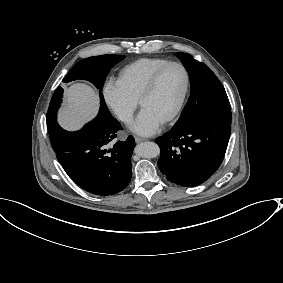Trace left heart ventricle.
<instances>
[{"label": "left heart ventricle", "mask_w": 283, "mask_h": 283, "mask_svg": "<svg viewBox=\"0 0 283 283\" xmlns=\"http://www.w3.org/2000/svg\"><path fill=\"white\" fill-rule=\"evenodd\" d=\"M185 78L179 66L169 67L158 79L153 92L141 103L164 120L176 107L184 88Z\"/></svg>", "instance_id": "left-heart-ventricle-1"}]
</instances>
